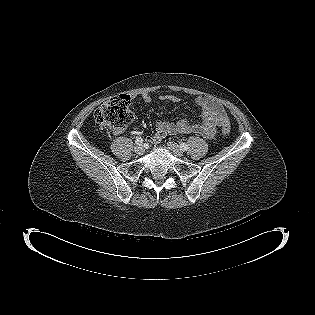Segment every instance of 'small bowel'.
Returning <instances> with one entry per match:
<instances>
[{
  "label": "small bowel",
  "mask_w": 315,
  "mask_h": 315,
  "mask_svg": "<svg viewBox=\"0 0 315 315\" xmlns=\"http://www.w3.org/2000/svg\"><path fill=\"white\" fill-rule=\"evenodd\" d=\"M163 101L178 103L180 99L175 95H160ZM141 99L145 103L152 101L150 94L144 93ZM193 103L198 107L202 114V120L199 123H192L188 120H180L178 122H168L158 120L156 122V132L148 137V142L156 144L167 135L174 134H190L195 133L207 138H211L216 133V129L225 123L229 124L228 117L222 105L215 99L208 96H198L193 100ZM121 130H116L119 133Z\"/></svg>",
  "instance_id": "c3829d8e"
}]
</instances>
